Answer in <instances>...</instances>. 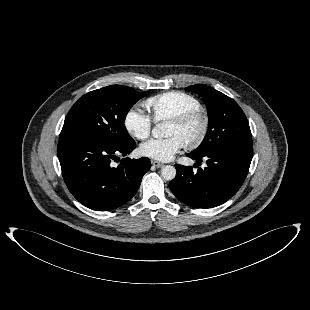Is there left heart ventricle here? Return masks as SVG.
Instances as JSON below:
<instances>
[{
    "label": "left heart ventricle",
    "mask_w": 310,
    "mask_h": 310,
    "mask_svg": "<svg viewBox=\"0 0 310 310\" xmlns=\"http://www.w3.org/2000/svg\"><path fill=\"white\" fill-rule=\"evenodd\" d=\"M201 130V122L195 120L186 126H177L172 123H168L166 135L178 136L184 143L195 139Z\"/></svg>",
    "instance_id": "left-heart-ventricle-1"
}]
</instances>
